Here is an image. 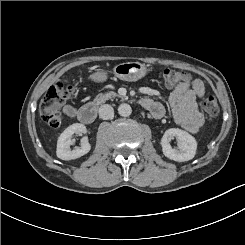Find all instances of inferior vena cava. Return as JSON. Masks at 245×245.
<instances>
[{
  "label": "inferior vena cava",
  "instance_id": "1",
  "mask_svg": "<svg viewBox=\"0 0 245 245\" xmlns=\"http://www.w3.org/2000/svg\"><path fill=\"white\" fill-rule=\"evenodd\" d=\"M114 116V109L109 104L101 105L99 108V117L103 120L111 119Z\"/></svg>",
  "mask_w": 245,
  "mask_h": 245
}]
</instances>
